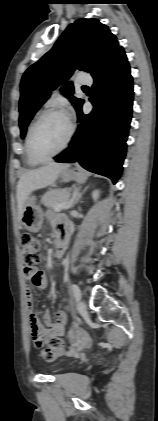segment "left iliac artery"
<instances>
[{"mask_svg": "<svg viewBox=\"0 0 158 421\" xmlns=\"http://www.w3.org/2000/svg\"><path fill=\"white\" fill-rule=\"evenodd\" d=\"M71 291L73 293L75 300L78 301L81 299V291L76 284H71Z\"/></svg>", "mask_w": 158, "mask_h": 421, "instance_id": "obj_1", "label": "left iliac artery"}]
</instances>
